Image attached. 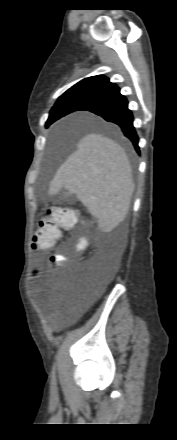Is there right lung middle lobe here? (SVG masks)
<instances>
[{"label": "right lung middle lobe", "instance_id": "dd1d6c3e", "mask_svg": "<svg viewBox=\"0 0 177 440\" xmlns=\"http://www.w3.org/2000/svg\"><path fill=\"white\" fill-rule=\"evenodd\" d=\"M93 102H95L94 99L88 96L76 93H64L57 100L50 114L55 115L57 118H61L71 112L81 110Z\"/></svg>", "mask_w": 177, "mask_h": 440}]
</instances>
